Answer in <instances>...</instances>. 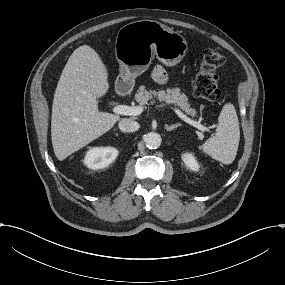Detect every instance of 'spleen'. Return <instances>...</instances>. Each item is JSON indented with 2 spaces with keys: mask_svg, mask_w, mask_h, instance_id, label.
I'll return each instance as SVG.
<instances>
[{
  "mask_svg": "<svg viewBox=\"0 0 285 285\" xmlns=\"http://www.w3.org/2000/svg\"><path fill=\"white\" fill-rule=\"evenodd\" d=\"M218 121L215 136L206 140L201 148L213 159L228 165L235 160L240 141L239 121L233 104L223 106Z\"/></svg>",
  "mask_w": 285,
  "mask_h": 285,
  "instance_id": "spleen-1",
  "label": "spleen"
}]
</instances>
